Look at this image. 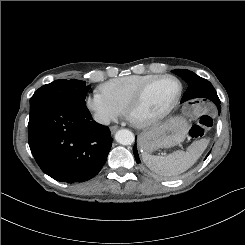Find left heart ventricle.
<instances>
[{
	"mask_svg": "<svg viewBox=\"0 0 245 245\" xmlns=\"http://www.w3.org/2000/svg\"><path fill=\"white\" fill-rule=\"evenodd\" d=\"M178 83L165 79L154 84L146 93L142 104L134 113L137 119H145L165 110L178 92Z\"/></svg>",
	"mask_w": 245,
	"mask_h": 245,
	"instance_id": "b2bd125f",
	"label": "left heart ventricle"
}]
</instances>
